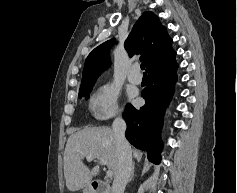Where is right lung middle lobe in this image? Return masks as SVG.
I'll list each match as a JSON object with an SVG mask.
<instances>
[{
    "instance_id": "obj_1",
    "label": "right lung middle lobe",
    "mask_w": 237,
    "mask_h": 193,
    "mask_svg": "<svg viewBox=\"0 0 237 193\" xmlns=\"http://www.w3.org/2000/svg\"><path fill=\"white\" fill-rule=\"evenodd\" d=\"M92 87L93 86H90V87H87V88H84V89H80L79 97L85 96L86 98H88L89 93L91 92Z\"/></svg>"
}]
</instances>
